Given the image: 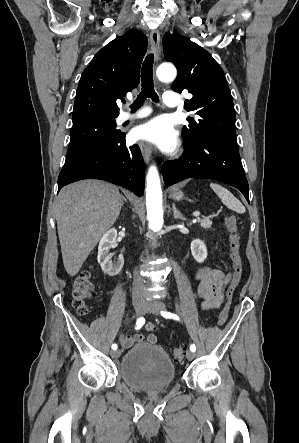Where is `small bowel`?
Masks as SVG:
<instances>
[{"label": "small bowel", "mask_w": 299, "mask_h": 443, "mask_svg": "<svg viewBox=\"0 0 299 443\" xmlns=\"http://www.w3.org/2000/svg\"><path fill=\"white\" fill-rule=\"evenodd\" d=\"M194 278L197 283L198 296L202 301V308L218 309L223 301L225 286L230 279L229 274H226L220 269L204 267L195 273ZM145 329L148 332L147 335L122 334L121 345L124 348H129L134 343L146 342L149 344H156L157 336L153 332L158 329V326L153 323H147Z\"/></svg>", "instance_id": "small-bowel-1"}]
</instances>
